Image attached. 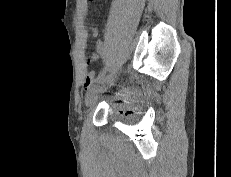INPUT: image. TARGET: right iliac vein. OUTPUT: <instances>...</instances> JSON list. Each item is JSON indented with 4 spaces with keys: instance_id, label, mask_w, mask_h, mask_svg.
<instances>
[{
    "instance_id": "right-iliac-vein-1",
    "label": "right iliac vein",
    "mask_w": 231,
    "mask_h": 177,
    "mask_svg": "<svg viewBox=\"0 0 231 177\" xmlns=\"http://www.w3.org/2000/svg\"><path fill=\"white\" fill-rule=\"evenodd\" d=\"M114 81V76L110 75L106 77L103 82L89 90L85 97V104L87 107H90L96 101L97 95L101 92H104L108 86L112 85Z\"/></svg>"
}]
</instances>
